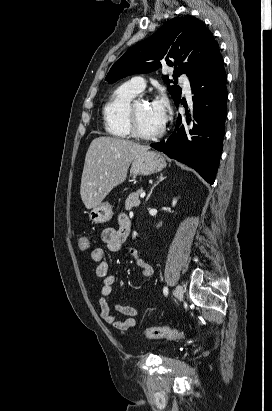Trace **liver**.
Instances as JSON below:
<instances>
[{
	"instance_id": "obj_1",
	"label": "liver",
	"mask_w": 272,
	"mask_h": 411,
	"mask_svg": "<svg viewBox=\"0 0 272 411\" xmlns=\"http://www.w3.org/2000/svg\"><path fill=\"white\" fill-rule=\"evenodd\" d=\"M148 146L112 138H95L86 153L80 195L87 209L97 207L109 192L122 184L132 160L148 151Z\"/></svg>"
}]
</instances>
